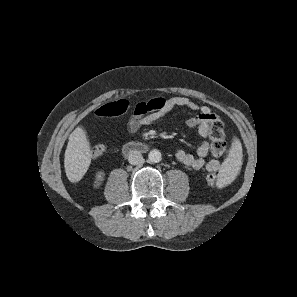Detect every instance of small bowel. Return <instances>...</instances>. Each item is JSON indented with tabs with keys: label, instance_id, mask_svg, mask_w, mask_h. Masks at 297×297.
<instances>
[{
	"label": "small bowel",
	"instance_id": "1",
	"mask_svg": "<svg viewBox=\"0 0 297 297\" xmlns=\"http://www.w3.org/2000/svg\"><path fill=\"white\" fill-rule=\"evenodd\" d=\"M145 103L148 105L147 111L144 114H133L128 122V131L131 134L136 133L141 126L154 123L176 107L187 108L196 112L187 120L188 127L196 129L204 141L197 147L195 155L184 150H178L176 152L177 160L193 170L205 169L213 173L221 169L222 162L220 160H205L209 153L207 139L211 135L210 124L215 117L209 107L200 106L185 96L155 97Z\"/></svg>",
	"mask_w": 297,
	"mask_h": 297
}]
</instances>
